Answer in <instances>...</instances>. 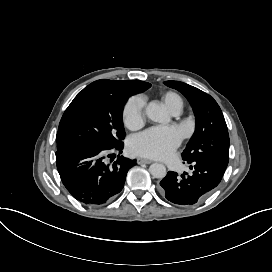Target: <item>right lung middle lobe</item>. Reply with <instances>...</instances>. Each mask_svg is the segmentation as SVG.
I'll list each match as a JSON object with an SVG mask.
<instances>
[{"label": "right lung middle lobe", "instance_id": "1", "mask_svg": "<svg viewBox=\"0 0 272 272\" xmlns=\"http://www.w3.org/2000/svg\"><path fill=\"white\" fill-rule=\"evenodd\" d=\"M151 87L136 80L127 88H84L64 112L57 133V149L87 144L113 149L125 137L122 111L128 97Z\"/></svg>", "mask_w": 272, "mask_h": 272}]
</instances>
